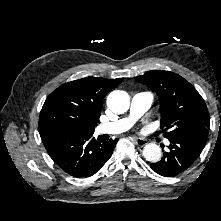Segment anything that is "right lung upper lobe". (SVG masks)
Instances as JSON below:
<instances>
[{"instance_id": "right-lung-upper-lobe-1", "label": "right lung upper lobe", "mask_w": 221, "mask_h": 221, "mask_svg": "<svg viewBox=\"0 0 221 221\" xmlns=\"http://www.w3.org/2000/svg\"><path fill=\"white\" fill-rule=\"evenodd\" d=\"M123 78L86 77L65 83L46 99L39 117V133H93L107 93Z\"/></svg>"}]
</instances>
